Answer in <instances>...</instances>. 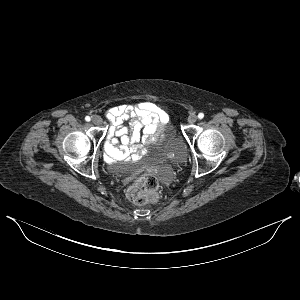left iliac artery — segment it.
<instances>
[{"instance_id":"obj_1","label":"left iliac artery","mask_w":300,"mask_h":300,"mask_svg":"<svg viewBox=\"0 0 300 300\" xmlns=\"http://www.w3.org/2000/svg\"><path fill=\"white\" fill-rule=\"evenodd\" d=\"M198 118H199V119H203V118H204V114H203V113H199V114H198Z\"/></svg>"}]
</instances>
